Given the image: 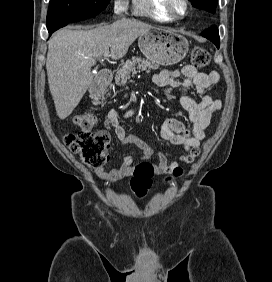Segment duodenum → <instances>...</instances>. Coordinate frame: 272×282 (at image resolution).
<instances>
[{
	"mask_svg": "<svg viewBox=\"0 0 272 282\" xmlns=\"http://www.w3.org/2000/svg\"><path fill=\"white\" fill-rule=\"evenodd\" d=\"M112 74L109 71H103L97 79L90 85L89 93L94 101L102 99L106 87L111 82Z\"/></svg>",
	"mask_w": 272,
	"mask_h": 282,
	"instance_id": "duodenum-1",
	"label": "duodenum"
}]
</instances>
